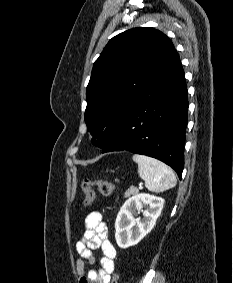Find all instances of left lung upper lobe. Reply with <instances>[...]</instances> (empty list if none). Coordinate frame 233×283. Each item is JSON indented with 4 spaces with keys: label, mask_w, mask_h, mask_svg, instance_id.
Masks as SVG:
<instances>
[{
    "label": "left lung upper lobe",
    "mask_w": 233,
    "mask_h": 283,
    "mask_svg": "<svg viewBox=\"0 0 233 283\" xmlns=\"http://www.w3.org/2000/svg\"><path fill=\"white\" fill-rule=\"evenodd\" d=\"M174 49L161 31L139 27L113 37L95 61L86 89L91 142L105 148L116 136L156 68Z\"/></svg>",
    "instance_id": "5c2ea615"
}]
</instances>
